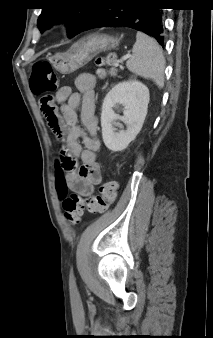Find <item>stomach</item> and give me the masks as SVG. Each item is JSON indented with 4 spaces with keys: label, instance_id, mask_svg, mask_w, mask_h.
<instances>
[{
    "label": "stomach",
    "instance_id": "1",
    "mask_svg": "<svg viewBox=\"0 0 213 338\" xmlns=\"http://www.w3.org/2000/svg\"><path fill=\"white\" fill-rule=\"evenodd\" d=\"M118 40L108 35L92 34L74 43L66 53L53 56V67L70 74L90 62L98 53L118 46Z\"/></svg>",
    "mask_w": 213,
    "mask_h": 338
}]
</instances>
